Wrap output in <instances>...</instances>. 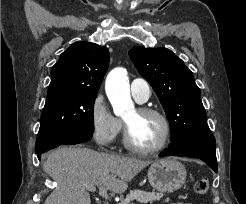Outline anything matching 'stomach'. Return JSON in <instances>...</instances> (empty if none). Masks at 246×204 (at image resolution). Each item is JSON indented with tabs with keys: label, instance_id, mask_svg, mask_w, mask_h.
Instances as JSON below:
<instances>
[{
	"label": "stomach",
	"instance_id": "0dacf381",
	"mask_svg": "<svg viewBox=\"0 0 246 204\" xmlns=\"http://www.w3.org/2000/svg\"><path fill=\"white\" fill-rule=\"evenodd\" d=\"M184 165L174 159H161L152 163L148 169V180L153 189L172 193L179 190L186 181Z\"/></svg>",
	"mask_w": 246,
	"mask_h": 204
}]
</instances>
